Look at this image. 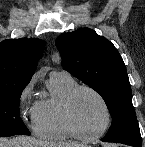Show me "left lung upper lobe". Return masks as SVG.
Listing matches in <instances>:
<instances>
[{
    "instance_id": "1",
    "label": "left lung upper lobe",
    "mask_w": 145,
    "mask_h": 147,
    "mask_svg": "<svg viewBox=\"0 0 145 147\" xmlns=\"http://www.w3.org/2000/svg\"><path fill=\"white\" fill-rule=\"evenodd\" d=\"M56 46L63 68L104 99L113 118L104 140L142 145L129 78L115 46L89 28L61 34Z\"/></svg>"
}]
</instances>
